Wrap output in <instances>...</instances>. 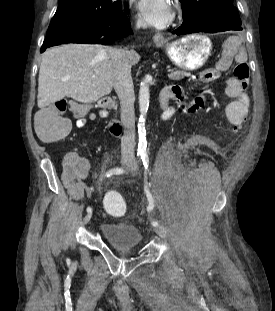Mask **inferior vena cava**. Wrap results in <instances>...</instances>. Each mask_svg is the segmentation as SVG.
Segmentation results:
<instances>
[{
  "mask_svg": "<svg viewBox=\"0 0 275 311\" xmlns=\"http://www.w3.org/2000/svg\"><path fill=\"white\" fill-rule=\"evenodd\" d=\"M141 27V22L137 23ZM130 51L114 49L111 53V62L114 68V89L120 100L121 122L124 134L121 138V155L123 159L134 160L135 144V115L134 89L131 77Z\"/></svg>",
  "mask_w": 275,
  "mask_h": 311,
  "instance_id": "inferior-vena-cava-1",
  "label": "inferior vena cava"
}]
</instances>
